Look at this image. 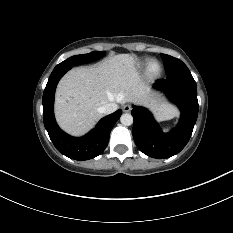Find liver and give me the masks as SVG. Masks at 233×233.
<instances>
[{"mask_svg":"<svg viewBox=\"0 0 233 233\" xmlns=\"http://www.w3.org/2000/svg\"><path fill=\"white\" fill-rule=\"evenodd\" d=\"M149 87L141 80L135 59L118 54L90 67L69 71L59 82L55 97V115L67 133L80 136L102 117L98 111L108 103L145 104ZM158 118H169L175 111L167 105H154Z\"/></svg>","mask_w":233,"mask_h":233,"instance_id":"6515ba94","label":"liver"}]
</instances>
